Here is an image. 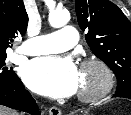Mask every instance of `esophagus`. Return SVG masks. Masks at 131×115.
<instances>
[{
  "label": "esophagus",
  "instance_id": "obj_1",
  "mask_svg": "<svg viewBox=\"0 0 131 115\" xmlns=\"http://www.w3.org/2000/svg\"><path fill=\"white\" fill-rule=\"evenodd\" d=\"M49 114L50 115H61L62 113L58 107L53 106L49 109Z\"/></svg>",
  "mask_w": 131,
  "mask_h": 115
}]
</instances>
